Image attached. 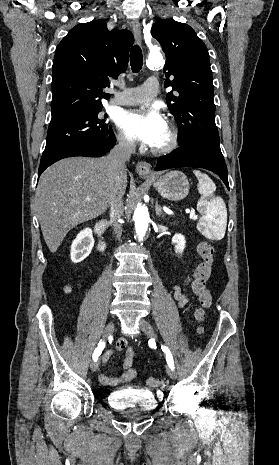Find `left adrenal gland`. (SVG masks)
<instances>
[{
	"mask_svg": "<svg viewBox=\"0 0 279 465\" xmlns=\"http://www.w3.org/2000/svg\"><path fill=\"white\" fill-rule=\"evenodd\" d=\"M155 212H156V216H162L163 215V210L161 208L160 205H158V201H156L155 203Z\"/></svg>",
	"mask_w": 279,
	"mask_h": 465,
	"instance_id": "a2214340",
	"label": "left adrenal gland"
}]
</instances>
